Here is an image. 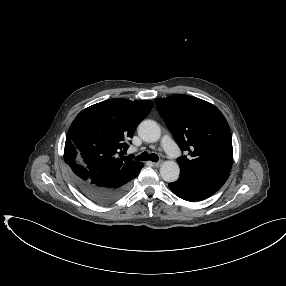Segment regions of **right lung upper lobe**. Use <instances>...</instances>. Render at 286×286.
<instances>
[{"instance_id":"right-lung-upper-lobe-1","label":"right lung upper lobe","mask_w":286,"mask_h":286,"mask_svg":"<svg viewBox=\"0 0 286 286\" xmlns=\"http://www.w3.org/2000/svg\"><path fill=\"white\" fill-rule=\"evenodd\" d=\"M153 105L151 100L109 99L86 108L69 128L65 162L85 169L100 186L131 175L142 163L123 156L125 140Z\"/></svg>"}]
</instances>
